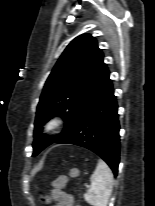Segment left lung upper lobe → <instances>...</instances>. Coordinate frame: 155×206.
<instances>
[{
	"label": "left lung upper lobe",
	"instance_id": "obj_1",
	"mask_svg": "<svg viewBox=\"0 0 155 206\" xmlns=\"http://www.w3.org/2000/svg\"><path fill=\"white\" fill-rule=\"evenodd\" d=\"M110 84L109 71L96 39L83 34L72 40L43 88L35 119L33 156L66 135ZM55 115L65 120L63 132L56 136L42 135V126Z\"/></svg>",
	"mask_w": 155,
	"mask_h": 206
}]
</instances>
